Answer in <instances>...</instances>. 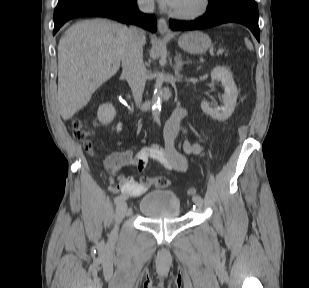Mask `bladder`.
Segmentation results:
<instances>
[{"label": "bladder", "instance_id": "bladder-1", "mask_svg": "<svg viewBox=\"0 0 309 288\" xmlns=\"http://www.w3.org/2000/svg\"><path fill=\"white\" fill-rule=\"evenodd\" d=\"M180 209V198L173 191L147 192L139 203V211L146 218H175L179 215Z\"/></svg>", "mask_w": 309, "mask_h": 288}]
</instances>
